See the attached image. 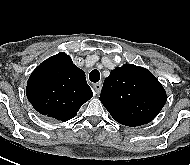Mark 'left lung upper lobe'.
<instances>
[{
    "mask_svg": "<svg viewBox=\"0 0 190 165\" xmlns=\"http://www.w3.org/2000/svg\"><path fill=\"white\" fill-rule=\"evenodd\" d=\"M166 100V92L155 76L132 64L112 70L100 94V101L113 119L130 127L151 122Z\"/></svg>",
    "mask_w": 190,
    "mask_h": 165,
    "instance_id": "1",
    "label": "left lung upper lobe"
}]
</instances>
